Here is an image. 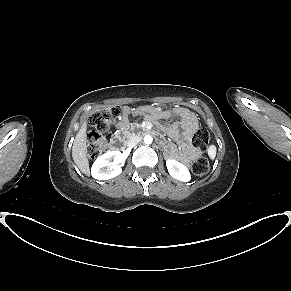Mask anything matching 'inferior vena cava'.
I'll list each match as a JSON object with an SVG mask.
<instances>
[{
	"instance_id": "1",
	"label": "inferior vena cava",
	"mask_w": 291,
	"mask_h": 291,
	"mask_svg": "<svg viewBox=\"0 0 291 291\" xmlns=\"http://www.w3.org/2000/svg\"><path fill=\"white\" fill-rule=\"evenodd\" d=\"M140 141H141V137H139V136H132L130 138V140L128 141L127 145H128V147H134Z\"/></svg>"
}]
</instances>
